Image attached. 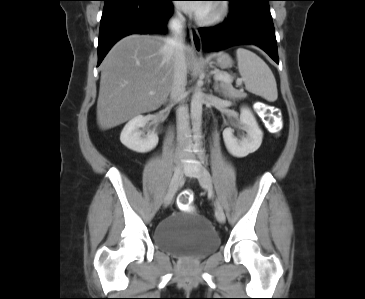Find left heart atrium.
<instances>
[{
  "instance_id": "1",
  "label": "left heart atrium",
  "mask_w": 365,
  "mask_h": 299,
  "mask_svg": "<svg viewBox=\"0 0 365 299\" xmlns=\"http://www.w3.org/2000/svg\"><path fill=\"white\" fill-rule=\"evenodd\" d=\"M196 3H186L182 4L183 8L190 13H193L197 16H201L205 13L208 8V4L205 3L206 1H192Z\"/></svg>"
}]
</instances>
